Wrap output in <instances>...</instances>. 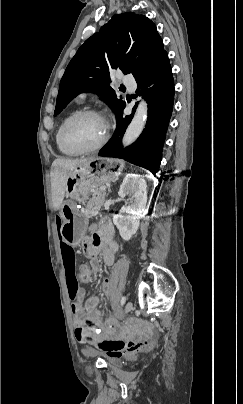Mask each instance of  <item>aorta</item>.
<instances>
[{
    "label": "aorta",
    "mask_w": 243,
    "mask_h": 404,
    "mask_svg": "<svg viewBox=\"0 0 243 404\" xmlns=\"http://www.w3.org/2000/svg\"><path fill=\"white\" fill-rule=\"evenodd\" d=\"M147 106L148 104H146V102H140L135 116L123 136V146H130V144H133V142L139 138L140 134H142L147 120Z\"/></svg>",
    "instance_id": "obj_1"
}]
</instances>
